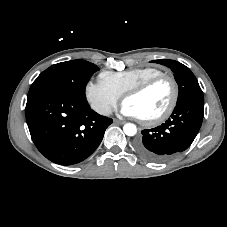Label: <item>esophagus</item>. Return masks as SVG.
<instances>
[{
	"mask_svg": "<svg viewBox=\"0 0 227 227\" xmlns=\"http://www.w3.org/2000/svg\"><path fill=\"white\" fill-rule=\"evenodd\" d=\"M114 123H115V124H120V125H122V124H124L125 122H124V121H121V120H118V119H114Z\"/></svg>",
	"mask_w": 227,
	"mask_h": 227,
	"instance_id": "esophagus-1",
	"label": "esophagus"
}]
</instances>
